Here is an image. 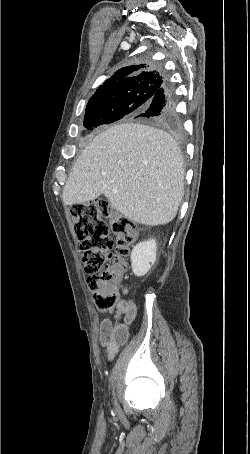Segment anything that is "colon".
Here are the masks:
<instances>
[{"label": "colon", "mask_w": 250, "mask_h": 454, "mask_svg": "<svg viewBox=\"0 0 250 454\" xmlns=\"http://www.w3.org/2000/svg\"><path fill=\"white\" fill-rule=\"evenodd\" d=\"M87 283L98 310L113 308L119 299L126 258L136 239L137 229L128 218L114 212L104 199L76 203L69 208ZM116 248L113 251V239Z\"/></svg>", "instance_id": "1"}]
</instances>
